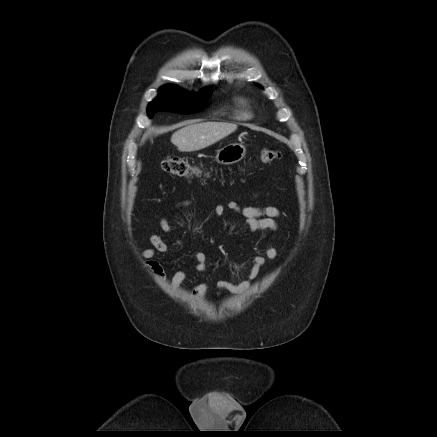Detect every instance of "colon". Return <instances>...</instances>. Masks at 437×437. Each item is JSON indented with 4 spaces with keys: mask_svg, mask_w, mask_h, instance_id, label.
<instances>
[{
    "mask_svg": "<svg viewBox=\"0 0 437 437\" xmlns=\"http://www.w3.org/2000/svg\"><path fill=\"white\" fill-rule=\"evenodd\" d=\"M280 150L264 147L260 150V161L262 163H272L280 159ZM161 169L171 175L180 177H191L201 175V170L188 159L182 157H167L160 163Z\"/></svg>",
    "mask_w": 437,
    "mask_h": 437,
    "instance_id": "obj_1",
    "label": "colon"
}]
</instances>
